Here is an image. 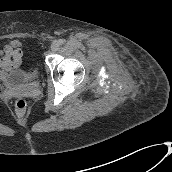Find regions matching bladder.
Returning <instances> with one entry per match:
<instances>
[{
	"label": "bladder",
	"mask_w": 172,
	"mask_h": 172,
	"mask_svg": "<svg viewBox=\"0 0 172 172\" xmlns=\"http://www.w3.org/2000/svg\"><path fill=\"white\" fill-rule=\"evenodd\" d=\"M21 73L14 71L12 74L0 77V86L5 89H11L21 82Z\"/></svg>",
	"instance_id": "obj_1"
}]
</instances>
